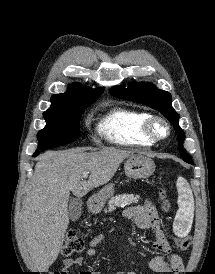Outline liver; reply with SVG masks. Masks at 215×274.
I'll return each instance as SVG.
<instances>
[{"mask_svg":"<svg viewBox=\"0 0 215 274\" xmlns=\"http://www.w3.org/2000/svg\"><path fill=\"white\" fill-rule=\"evenodd\" d=\"M131 152L103 148L47 152L40 156L30 179L20 215L23 244L39 272L57 259L69 224L70 192L78 198L109 182ZM90 172L83 181V173Z\"/></svg>","mask_w":215,"mask_h":274,"instance_id":"obj_1","label":"liver"}]
</instances>
